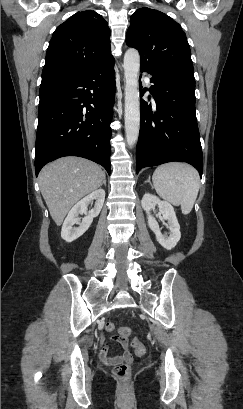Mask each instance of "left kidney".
Listing matches in <instances>:
<instances>
[{
    "instance_id": "obj_1",
    "label": "left kidney",
    "mask_w": 243,
    "mask_h": 409,
    "mask_svg": "<svg viewBox=\"0 0 243 409\" xmlns=\"http://www.w3.org/2000/svg\"><path fill=\"white\" fill-rule=\"evenodd\" d=\"M141 204L147 214L148 226L154 232L158 243L167 250L174 248L181 238V232L173 206L149 193L144 194ZM156 205H158L163 218L168 221L169 236L161 233L156 219L151 215L150 211Z\"/></svg>"
}]
</instances>
